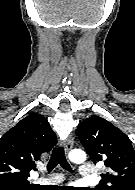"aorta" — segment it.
<instances>
[{"mask_svg": "<svg viewBox=\"0 0 135 190\" xmlns=\"http://www.w3.org/2000/svg\"><path fill=\"white\" fill-rule=\"evenodd\" d=\"M69 159L74 163H82L86 159V154L82 150H73L69 153Z\"/></svg>", "mask_w": 135, "mask_h": 190, "instance_id": "aorta-1", "label": "aorta"}]
</instances>
